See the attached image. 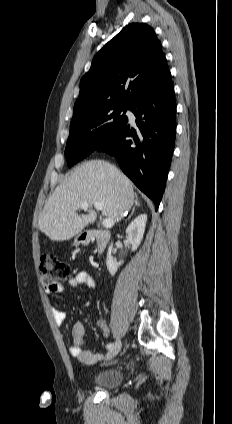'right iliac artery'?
Masks as SVG:
<instances>
[{"mask_svg":"<svg viewBox=\"0 0 232 424\" xmlns=\"http://www.w3.org/2000/svg\"><path fill=\"white\" fill-rule=\"evenodd\" d=\"M113 345H114L113 343H109V344H107L106 348L110 349Z\"/></svg>","mask_w":232,"mask_h":424,"instance_id":"right-iliac-artery-1","label":"right iliac artery"}]
</instances>
